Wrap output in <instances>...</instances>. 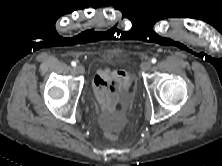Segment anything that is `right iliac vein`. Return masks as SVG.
Wrapping results in <instances>:
<instances>
[{
	"label": "right iliac vein",
	"instance_id": "63e3f726",
	"mask_svg": "<svg viewBox=\"0 0 222 166\" xmlns=\"http://www.w3.org/2000/svg\"><path fill=\"white\" fill-rule=\"evenodd\" d=\"M75 70L78 74H83L85 72V69L82 65L76 66Z\"/></svg>",
	"mask_w": 222,
	"mask_h": 166
}]
</instances>
